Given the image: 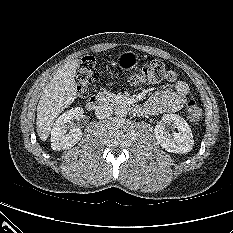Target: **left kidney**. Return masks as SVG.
I'll use <instances>...</instances> for the list:
<instances>
[{
    "instance_id": "5707ae66",
    "label": "left kidney",
    "mask_w": 233,
    "mask_h": 233,
    "mask_svg": "<svg viewBox=\"0 0 233 233\" xmlns=\"http://www.w3.org/2000/svg\"><path fill=\"white\" fill-rule=\"evenodd\" d=\"M165 124L172 125L177 132L169 133ZM155 137L163 149L172 153H187L193 148V135L188 123L179 115L165 114L155 126Z\"/></svg>"
}]
</instances>
